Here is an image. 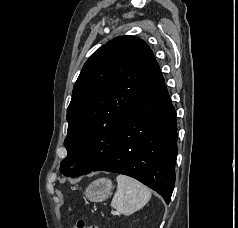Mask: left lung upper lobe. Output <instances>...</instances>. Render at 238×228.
I'll return each instance as SVG.
<instances>
[{
    "label": "left lung upper lobe",
    "mask_w": 238,
    "mask_h": 228,
    "mask_svg": "<svg viewBox=\"0 0 238 228\" xmlns=\"http://www.w3.org/2000/svg\"><path fill=\"white\" fill-rule=\"evenodd\" d=\"M155 63L150 47L134 36L114 38L91 55L67 109L68 154L61 163V173L90 172L113 154L118 133Z\"/></svg>",
    "instance_id": "obj_1"
}]
</instances>
